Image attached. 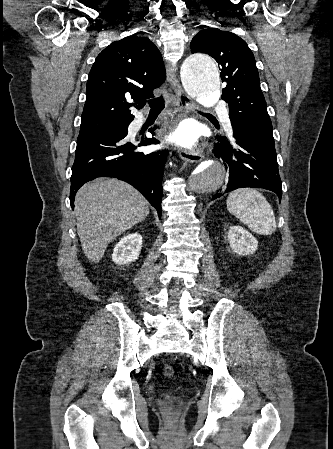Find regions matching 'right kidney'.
Listing matches in <instances>:
<instances>
[{"label":"right kidney","instance_id":"obj_1","mask_svg":"<svg viewBox=\"0 0 333 449\" xmlns=\"http://www.w3.org/2000/svg\"><path fill=\"white\" fill-rule=\"evenodd\" d=\"M142 248V236L132 233L124 236L115 246L112 260L118 264H129L136 261Z\"/></svg>","mask_w":333,"mask_h":449}]
</instances>
